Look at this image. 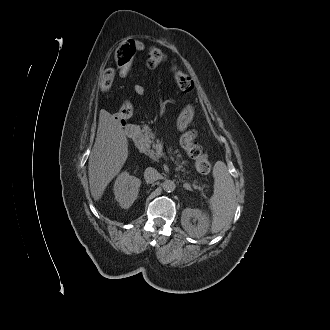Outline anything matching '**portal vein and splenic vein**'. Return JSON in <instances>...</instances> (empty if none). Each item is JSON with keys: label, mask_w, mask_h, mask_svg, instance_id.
<instances>
[{"label": "portal vein and splenic vein", "mask_w": 330, "mask_h": 330, "mask_svg": "<svg viewBox=\"0 0 330 330\" xmlns=\"http://www.w3.org/2000/svg\"><path fill=\"white\" fill-rule=\"evenodd\" d=\"M157 148V155L160 157V156H162L163 155V152H162V146L160 145V144H158L157 146H156Z\"/></svg>", "instance_id": "portal-vein-and-splenic-vein-1"}]
</instances>
